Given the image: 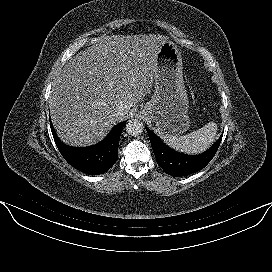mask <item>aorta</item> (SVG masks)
Masks as SVG:
<instances>
[{"label":"aorta","mask_w":272,"mask_h":272,"mask_svg":"<svg viewBox=\"0 0 272 272\" xmlns=\"http://www.w3.org/2000/svg\"><path fill=\"white\" fill-rule=\"evenodd\" d=\"M143 123L138 119L129 120L126 124V132L131 136H138L143 132Z\"/></svg>","instance_id":"762f6f07"}]
</instances>
